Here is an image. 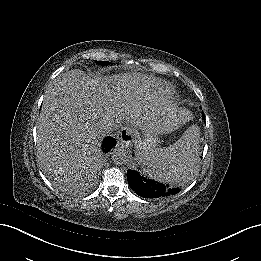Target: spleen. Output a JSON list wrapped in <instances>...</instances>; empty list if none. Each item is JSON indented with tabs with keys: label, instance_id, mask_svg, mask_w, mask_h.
<instances>
[{
	"label": "spleen",
	"instance_id": "obj_1",
	"mask_svg": "<svg viewBox=\"0 0 261 261\" xmlns=\"http://www.w3.org/2000/svg\"><path fill=\"white\" fill-rule=\"evenodd\" d=\"M198 139L199 129L193 125L174 144L153 148L141 158L140 162L147 167V173L154 175L155 179L172 185L180 184L186 177L185 170L192 171L197 163Z\"/></svg>",
	"mask_w": 261,
	"mask_h": 261
}]
</instances>
